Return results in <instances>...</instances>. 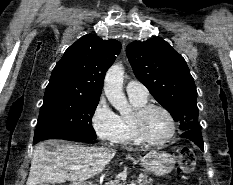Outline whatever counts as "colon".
Returning <instances> with one entry per match:
<instances>
[{
    "mask_svg": "<svg viewBox=\"0 0 233 185\" xmlns=\"http://www.w3.org/2000/svg\"><path fill=\"white\" fill-rule=\"evenodd\" d=\"M195 165V154L189 147L181 148L178 156V167L182 173H191Z\"/></svg>",
    "mask_w": 233,
    "mask_h": 185,
    "instance_id": "colon-1",
    "label": "colon"
}]
</instances>
